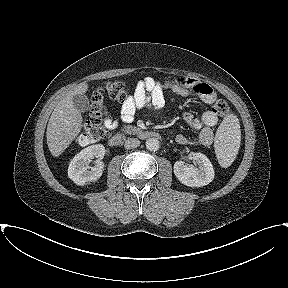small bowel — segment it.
I'll return each instance as SVG.
<instances>
[{"mask_svg":"<svg viewBox=\"0 0 288 288\" xmlns=\"http://www.w3.org/2000/svg\"><path fill=\"white\" fill-rule=\"evenodd\" d=\"M173 92L181 96H198L206 104L216 101L214 90L206 83L193 78L181 77L175 80L157 81L152 77H146L137 82L134 94L120 106V121L130 123L135 114L144 108L159 109L166 103V94ZM185 121L195 130L199 131L197 139L189 138L183 134L176 136V142L181 145L212 144L213 127L217 125L219 117L214 109L205 111L201 117L195 118L188 111L183 112ZM119 120L108 121L109 128H115Z\"/></svg>","mask_w":288,"mask_h":288,"instance_id":"obj_1","label":"small bowel"}]
</instances>
